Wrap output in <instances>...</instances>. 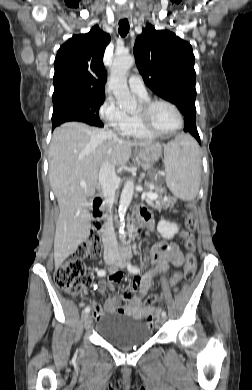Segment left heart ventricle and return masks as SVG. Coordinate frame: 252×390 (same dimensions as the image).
Returning <instances> with one entry per match:
<instances>
[{"instance_id": "obj_1", "label": "left heart ventricle", "mask_w": 252, "mask_h": 390, "mask_svg": "<svg viewBox=\"0 0 252 390\" xmlns=\"http://www.w3.org/2000/svg\"><path fill=\"white\" fill-rule=\"evenodd\" d=\"M142 113V109L138 114ZM150 120L155 129L160 131H169L178 124V118L175 111L166 104H158L150 114Z\"/></svg>"}]
</instances>
